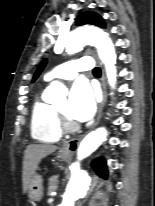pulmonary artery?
Masks as SVG:
<instances>
[{"mask_svg":"<svg viewBox=\"0 0 155 206\" xmlns=\"http://www.w3.org/2000/svg\"><path fill=\"white\" fill-rule=\"evenodd\" d=\"M93 61L90 57H83L77 60H71L58 65L45 76L47 81L55 79L70 80L75 78L79 72L92 69Z\"/></svg>","mask_w":155,"mask_h":206,"instance_id":"pulmonary-artery-1","label":"pulmonary artery"}]
</instances>
